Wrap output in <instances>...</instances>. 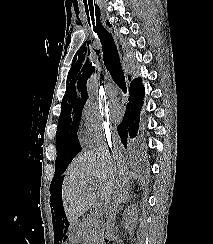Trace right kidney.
Masks as SVG:
<instances>
[{"instance_id":"1","label":"right kidney","mask_w":213,"mask_h":244,"mask_svg":"<svg viewBox=\"0 0 213 244\" xmlns=\"http://www.w3.org/2000/svg\"><path fill=\"white\" fill-rule=\"evenodd\" d=\"M132 212H131V215H132V219H131V223H133V222H135V220H136V217H137V212H136V210L134 209V205L132 206Z\"/></svg>"}]
</instances>
